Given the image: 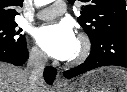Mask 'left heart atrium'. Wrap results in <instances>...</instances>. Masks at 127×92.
Masks as SVG:
<instances>
[{
  "label": "left heart atrium",
  "mask_w": 127,
  "mask_h": 92,
  "mask_svg": "<svg viewBox=\"0 0 127 92\" xmlns=\"http://www.w3.org/2000/svg\"><path fill=\"white\" fill-rule=\"evenodd\" d=\"M36 40L45 53L59 60L70 59L77 46L73 29L65 22L39 28Z\"/></svg>",
  "instance_id": "obj_1"
}]
</instances>
